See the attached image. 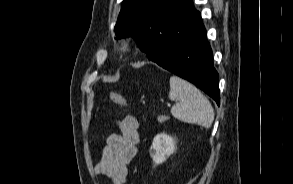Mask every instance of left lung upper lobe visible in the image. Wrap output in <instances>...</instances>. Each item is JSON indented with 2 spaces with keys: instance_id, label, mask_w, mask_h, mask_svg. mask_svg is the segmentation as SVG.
Segmentation results:
<instances>
[{
  "instance_id": "1",
  "label": "left lung upper lobe",
  "mask_w": 293,
  "mask_h": 184,
  "mask_svg": "<svg viewBox=\"0 0 293 184\" xmlns=\"http://www.w3.org/2000/svg\"><path fill=\"white\" fill-rule=\"evenodd\" d=\"M183 0H124L114 31L116 38L133 37L148 57L149 49L168 30L170 19Z\"/></svg>"
}]
</instances>
